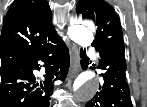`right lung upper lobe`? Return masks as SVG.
<instances>
[{
  "label": "right lung upper lobe",
  "instance_id": "obj_1",
  "mask_svg": "<svg viewBox=\"0 0 147 107\" xmlns=\"http://www.w3.org/2000/svg\"><path fill=\"white\" fill-rule=\"evenodd\" d=\"M56 36L52 13L46 0H15L2 27L1 69L22 62L35 49Z\"/></svg>",
  "mask_w": 147,
  "mask_h": 107
}]
</instances>
